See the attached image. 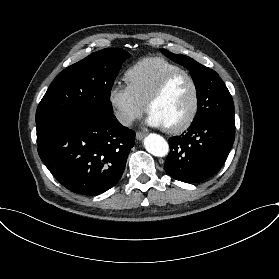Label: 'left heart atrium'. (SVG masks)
<instances>
[{
  "instance_id": "left-heart-atrium-1",
  "label": "left heart atrium",
  "mask_w": 279,
  "mask_h": 279,
  "mask_svg": "<svg viewBox=\"0 0 279 279\" xmlns=\"http://www.w3.org/2000/svg\"><path fill=\"white\" fill-rule=\"evenodd\" d=\"M146 124L151 127H165L163 120L152 112L148 113Z\"/></svg>"
}]
</instances>
